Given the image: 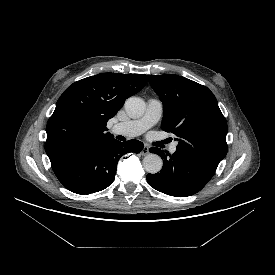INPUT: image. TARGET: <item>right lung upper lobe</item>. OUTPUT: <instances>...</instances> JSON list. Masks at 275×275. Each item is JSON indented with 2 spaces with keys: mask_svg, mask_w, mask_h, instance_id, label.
I'll return each instance as SVG.
<instances>
[{
  "mask_svg": "<svg viewBox=\"0 0 275 275\" xmlns=\"http://www.w3.org/2000/svg\"><path fill=\"white\" fill-rule=\"evenodd\" d=\"M144 74L101 73L69 86L49 118L45 151L50 158L113 139L108 120L143 89Z\"/></svg>",
  "mask_w": 275,
  "mask_h": 275,
  "instance_id": "right-lung-upper-lobe-1",
  "label": "right lung upper lobe"
}]
</instances>
